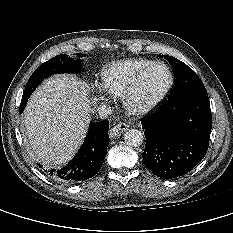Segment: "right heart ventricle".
<instances>
[{
    "mask_svg": "<svg viewBox=\"0 0 233 233\" xmlns=\"http://www.w3.org/2000/svg\"><path fill=\"white\" fill-rule=\"evenodd\" d=\"M152 62L145 58H131L108 64L101 70L102 87L110 94L121 96L135 75Z\"/></svg>",
    "mask_w": 233,
    "mask_h": 233,
    "instance_id": "right-heart-ventricle-1",
    "label": "right heart ventricle"
}]
</instances>
